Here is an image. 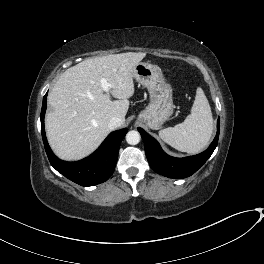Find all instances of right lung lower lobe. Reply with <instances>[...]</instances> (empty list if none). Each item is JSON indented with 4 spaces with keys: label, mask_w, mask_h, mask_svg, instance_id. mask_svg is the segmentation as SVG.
Returning a JSON list of instances; mask_svg holds the SVG:
<instances>
[{
    "label": "right lung lower lobe",
    "mask_w": 264,
    "mask_h": 264,
    "mask_svg": "<svg viewBox=\"0 0 264 264\" xmlns=\"http://www.w3.org/2000/svg\"><path fill=\"white\" fill-rule=\"evenodd\" d=\"M46 99L47 93L43 98L41 110V132L51 165L66 178L81 186H93L108 180L114 172L120 143L128 130L124 128L110 133L99 149L83 160L77 162L60 160L50 149L45 135L44 116L47 107Z\"/></svg>",
    "instance_id": "98d812e1"
}]
</instances>
